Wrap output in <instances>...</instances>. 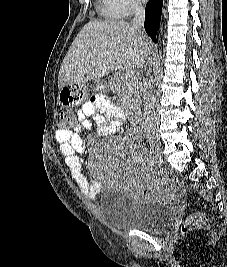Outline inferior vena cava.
<instances>
[{
	"label": "inferior vena cava",
	"instance_id": "1",
	"mask_svg": "<svg viewBox=\"0 0 227 267\" xmlns=\"http://www.w3.org/2000/svg\"><path fill=\"white\" fill-rule=\"evenodd\" d=\"M144 7L141 2L134 3V18L132 26L134 29H142L144 27ZM153 86L148 78L143 79L141 90L143 92L144 100V131L146 136L150 134H157L158 131V117L156 114V102L153 94Z\"/></svg>",
	"mask_w": 227,
	"mask_h": 267
}]
</instances>
